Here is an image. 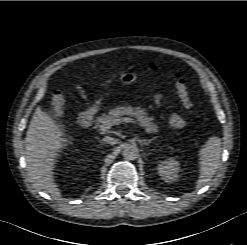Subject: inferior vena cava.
I'll use <instances>...</instances> for the list:
<instances>
[{
	"mask_svg": "<svg viewBox=\"0 0 247 245\" xmlns=\"http://www.w3.org/2000/svg\"><path fill=\"white\" fill-rule=\"evenodd\" d=\"M103 141L108 143V144H111V145H114V144L117 143V140L115 138H113V137H110V136H105L103 138Z\"/></svg>",
	"mask_w": 247,
	"mask_h": 245,
	"instance_id": "inferior-vena-cava-1",
	"label": "inferior vena cava"
}]
</instances>
